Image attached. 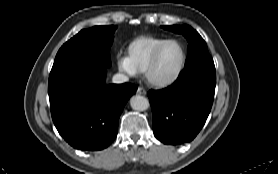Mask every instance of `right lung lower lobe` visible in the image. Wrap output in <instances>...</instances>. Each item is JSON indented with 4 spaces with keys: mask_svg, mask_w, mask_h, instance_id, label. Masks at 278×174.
<instances>
[{
    "mask_svg": "<svg viewBox=\"0 0 278 174\" xmlns=\"http://www.w3.org/2000/svg\"><path fill=\"white\" fill-rule=\"evenodd\" d=\"M106 67L70 62L52 69L48 82L51 115L74 148L101 150L117 136L118 119L137 86L105 84Z\"/></svg>",
    "mask_w": 278,
    "mask_h": 174,
    "instance_id": "98d812e1",
    "label": "right lung lower lobe"
}]
</instances>
